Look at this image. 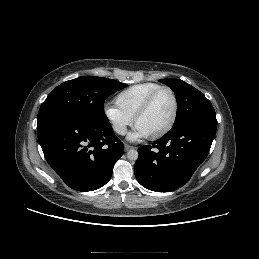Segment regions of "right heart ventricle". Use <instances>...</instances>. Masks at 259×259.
I'll return each instance as SVG.
<instances>
[{
	"mask_svg": "<svg viewBox=\"0 0 259 259\" xmlns=\"http://www.w3.org/2000/svg\"><path fill=\"white\" fill-rule=\"evenodd\" d=\"M160 86L154 82L132 85L116 95L115 104L123 113L133 119L147 96Z\"/></svg>",
	"mask_w": 259,
	"mask_h": 259,
	"instance_id": "1",
	"label": "right heart ventricle"
}]
</instances>
